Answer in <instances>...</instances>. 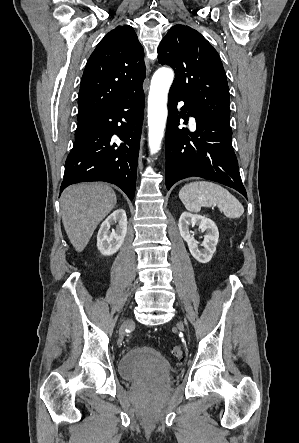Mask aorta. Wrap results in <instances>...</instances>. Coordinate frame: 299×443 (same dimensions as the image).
<instances>
[{
    "instance_id": "762f6f07",
    "label": "aorta",
    "mask_w": 299,
    "mask_h": 443,
    "mask_svg": "<svg viewBox=\"0 0 299 443\" xmlns=\"http://www.w3.org/2000/svg\"><path fill=\"white\" fill-rule=\"evenodd\" d=\"M174 79L170 68L158 69L151 80L148 96V142L150 153L155 154L161 148L167 120V96Z\"/></svg>"
}]
</instances>
